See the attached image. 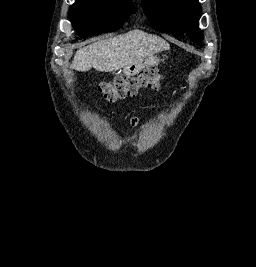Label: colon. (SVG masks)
Wrapping results in <instances>:
<instances>
[{
    "label": "colon",
    "mask_w": 256,
    "mask_h": 267,
    "mask_svg": "<svg viewBox=\"0 0 256 267\" xmlns=\"http://www.w3.org/2000/svg\"><path fill=\"white\" fill-rule=\"evenodd\" d=\"M161 74L156 71L139 70L136 77H118L112 82L103 83L99 91L106 101H114L126 96H134L141 88L158 90L161 86Z\"/></svg>",
    "instance_id": "1"
}]
</instances>
